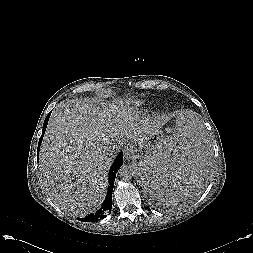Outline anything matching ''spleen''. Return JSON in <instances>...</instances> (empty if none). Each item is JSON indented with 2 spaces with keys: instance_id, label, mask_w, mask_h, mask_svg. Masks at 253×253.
<instances>
[{
  "instance_id": "spleen-1",
  "label": "spleen",
  "mask_w": 253,
  "mask_h": 253,
  "mask_svg": "<svg viewBox=\"0 0 253 253\" xmlns=\"http://www.w3.org/2000/svg\"><path fill=\"white\" fill-rule=\"evenodd\" d=\"M208 126L193 111L177 114L152 160L141 168L139 181L149 195L178 201L201 186L210 160Z\"/></svg>"
}]
</instances>
